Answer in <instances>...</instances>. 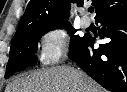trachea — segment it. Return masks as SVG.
<instances>
[{"mask_svg": "<svg viewBox=\"0 0 127 92\" xmlns=\"http://www.w3.org/2000/svg\"><path fill=\"white\" fill-rule=\"evenodd\" d=\"M88 11H89L90 13H92V12L94 11V8H93V7H89V8H88Z\"/></svg>", "mask_w": 127, "mask_h": 92, "instance_id": "1", "label": "trachea"}]
</instances>
